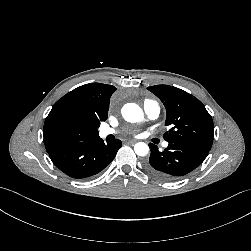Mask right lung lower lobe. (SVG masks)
I'll use <instances>...</instances> for the list:
<instances>
[{
	"instance_id": "obj_1",
	"label": "right lung lower lobe",
	"mask_w": 251,
	"mask_h": 251,
	"mask_svg": "<svg viewBox=\"0 0 251 251\" xmlns=\"http://www.w3.org/2000/svg\"><path fill=\"white\" fill-rule=\"evenodd\" d=\"M122 143L105 144L98 135L56 143L47 150L54 165L68 176L83 179L102 171L116 156Z\"/></svg>"
}]
</instances>
